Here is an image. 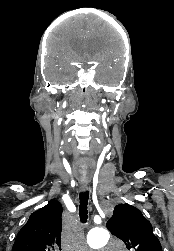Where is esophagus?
<instances>
[{
  "instance_id": "esophagus-1",
  "label": "esophagus",
  "mask_w": 174,
  "mask_h": 251,
  "mask_svg": "<svg viewBox=\"0 0 174 251\" xmlns=\"http://www.w3.org/2000/svg\"><path fill=\"white\" fill-rule=\"evenodd\" d=\"M88 183H81V188L83 189V190H87L88 189Z\"/></svg>"
}]
</instances>
